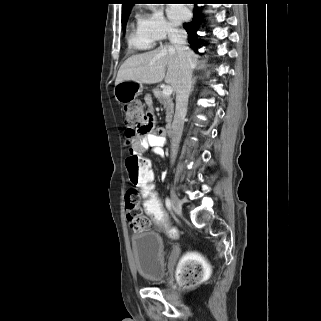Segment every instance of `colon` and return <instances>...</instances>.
<instances>
[{"label":"colon","mask_w":321,"mask_h":321,"mask_svg":"<svg viewBox=\"0 0 321 321\" xmlns=\"http://www.w3.org/2000/svg\"><path fill=\"white\" fill-rule=\"evenodd\" d=\"M123 114L127 134L139 136L152 130L154 116L139 102L126 103ZM126 169L130 182L135 186L128 189L125 195L127 221L130 228L134 231H143L149 228L150 221L157 222L163 226L170 237L176 238L178 232L168 222L162 197L159 196L158 191H154L157 182L150 162L134 152H129L126 158ZM141 198H143L142 207L145 215L150 216V220L142 214ZM206 275L207 268L204 263L192 257L185 258L178 270L179 282L185 287L198 284Z\"/></svg>","instance_id":"obj_1"}]
</instances>
